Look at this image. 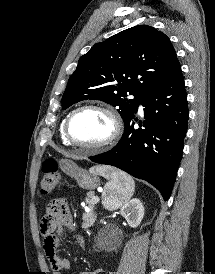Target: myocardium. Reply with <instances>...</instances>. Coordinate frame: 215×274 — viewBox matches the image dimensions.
<instances>
[{
	"mask_svg": "<svg viewBox=\"0 0 215 274\" xmlns=\"http://www.w3.org/2000/svg\"><path fill=\"white\" fill-rule=\"evenodd\" d=\"M84 110H97L106 114L109 117L112 124V130L110 135L106 139L95 144H84L76 141L73 138L70 131L71 122L76 114ZM121 133H122V121L119 114L112 107L103 105V104L91 103V104L81 105L68 114L64 123V134L68 142L76 147L86 149V150H91V151H100L110 147L119 139V137L121 136Z\"/></svg>",
	"mask_w": 215,
	"mask_h": 274,
	"instance_id": "f54148a6",
	"label": "myocardium"
}]
</instances>
